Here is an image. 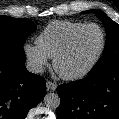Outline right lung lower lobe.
Masks as SVG:
<instances>
[{
    "label": "right lung lower lobe",
    "instance_id": "98d812e1",
    "mask_svg": "<svg viewBox=\"0 0 119 119\" xmlns=\"http://www.w3.org/2000/svg\"><path fill=\"white\" fill-rule=\"evenodd\" d=\"M24 63L0 58V119H25L45 96V79L30 73Z\"/></svg>",
    "mask_w": 119,
    "mask_h": 119
}]
</instances>
